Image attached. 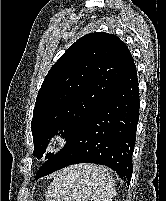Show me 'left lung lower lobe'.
<instances>
[{"instance_id":"1","label":"left lung lower lobe","mask_w":166,"mask_h":201,"mask_svg":"<svg viewBox=\"0 0 166 201\" xmlns=\"http://www.w3.org/2000/svg\"><path fill=\"white\" fill-rule=\"evenodd\" d=\"M138 119V79L133 63L63 149L40 167L35 179L72 164L95 163L110 167L129 185Z\"/></svg>"}]
</instances>
